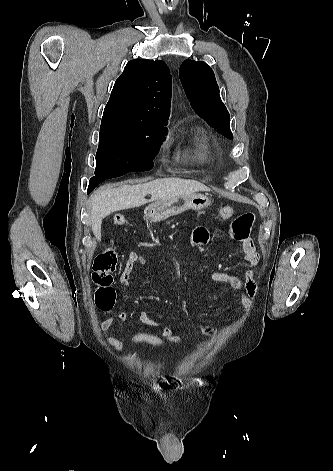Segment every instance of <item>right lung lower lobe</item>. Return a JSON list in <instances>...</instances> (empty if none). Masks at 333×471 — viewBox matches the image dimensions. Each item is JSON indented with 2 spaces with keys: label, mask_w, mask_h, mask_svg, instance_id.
<instances>
[{
  "label": "right lung lower lobe",
  "mask_w": 333,
  "mask_h": 471,
  "mask_svg": "<svg viewBox=\"0 0 333 471\" xmlns=\"http://www.w3.org/2000/svg\"><path fill=\"white\" fill-rule=\"evenodd\" d=\"M104 180H106V179H96V178H94V177L91 178V179H90V183H89V187H88L87 193L89 194L91 191H93L94 188H95L96 186H98V185H99L102 181H104Z\"/></svg>",
  "instance_id": "98d812e1"
}]
</instances>
